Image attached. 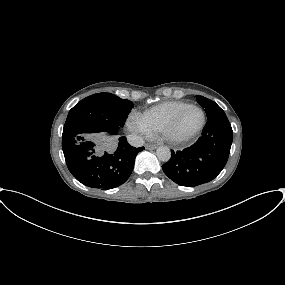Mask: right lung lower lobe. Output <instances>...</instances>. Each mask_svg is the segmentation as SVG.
I'll list each match as a JSON object with an SVG mask.
<instances>
[{
    "label": "right lung lower lobe",
    "instance_id": "right-lung-lower-lobe-1",
    "mask_svg": "<svg viewBox=\"0 0 285 285\" xmlns=\"http://www.w3.org/2000/svg\"><path fill=\"white\" fill-rule=\"evenodd\" d=\"M62 149L69 171L79 182L107 190L129 178L135 157L144 147H132L123 136L114 151H104L99 136L78 135L63 139Z\"/></svg>",
    "mask_w": 285,
    "mask_h": 285
}]
</instances>
